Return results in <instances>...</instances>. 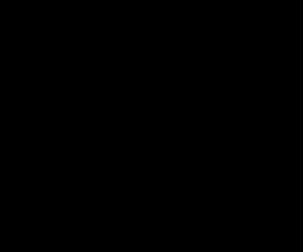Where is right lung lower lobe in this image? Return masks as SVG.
I'll return each mask as SVG.
<instances>
[{
	"mask_svg": "<svg viewBox=\"0 0 303 252\" xmlns=\"http://www.w3.org/2000/svg\"><path fill=\"white\" fill-rule=\"evenodd\" d=\"M90 138H93L92 136H90ZM95 140V138H93ZM84 156L86 158H89L91 157V149L88 147V146H85L84 147ZM92 163V162H91ZM91 165H93V169L94 171H98L100 173H103L105 170H104V167H102L100 164H97V163H92Z\"/></svg>",
	"mask_w": 303,
	"mask_h": 252,
	"instance_id": "1",
	"label": "right lung lower lobe"
}]
</instances>
